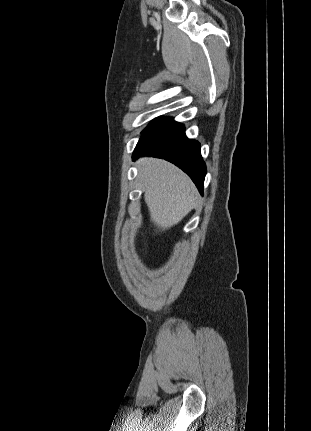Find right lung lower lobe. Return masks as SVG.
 I'll use <instances>...</instances> for the list:
<instances>
[{
    "instance_id": "98d812e1",
    "label": "right lung lower lobe",
    "mask_w": 311,
    "mask_h": 431,
    "mask_svg": "<svg viewBox=\"0 0 311 431\" xmlns=\"http://www.w3.org/2000/svg\"><path fill=\"white\" fill-rule=\"evenodd\" d=\"M183 124L172 118H163L150 124L143 132L133 160L140 156L165 159L187 173L203 194L206 165L201 157L200 143L186 137Z\"/></svg>"
}]
</instances>
